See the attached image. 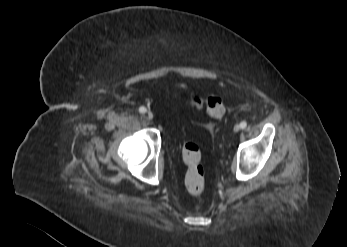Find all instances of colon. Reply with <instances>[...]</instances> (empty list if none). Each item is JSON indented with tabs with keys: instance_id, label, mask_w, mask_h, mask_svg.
Wrapping results in <instances>:
<instances>
[{
	"instance_id": "5ec220e1",
	"label": "colon",
	"mask_w": 347,
	"mask_h": 247,
	"mask_svg": "<svg viewBox=\"0 0 347 247\" xmlns=\"http://www.w3.org/2000/svg\"><path fill=\"white\" fill-rule=\"evenodd\" d=\"M190 104L196 109L205 106L208 114L214 118H219L225 113L223 101L216 96H211L206 99H202L199 96H192ZM182 156L187 166L184 182L186 191L190 195L198 196L203 192L205 186L204 168L201 162L200 149L194 142L185 141L182 148Z\"/></svg>"
}]
</instances>
